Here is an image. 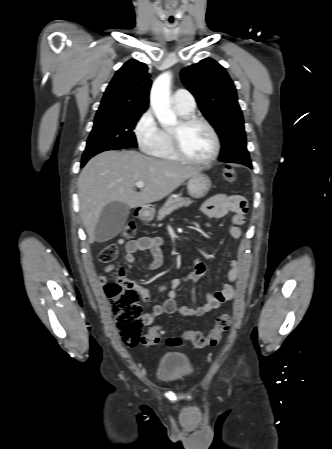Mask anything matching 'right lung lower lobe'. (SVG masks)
Here are the masks:
<instances>
[{
  "label": "right lung lower lobe",
  "mask_w": 332,
  "mask_h": 449,
  "mask_svg": "<svg viewBox=\"0 0 332 449\" xmlns=\"http://www.w3.org/2000/svg\"><path fill=\"white\" fill-rule=\"evenodd\" d=\"M90 158L82 159L81 167H83Z\"/></svg>",
  "instance_id": "1"
}]
</instances>
